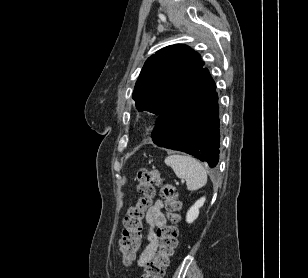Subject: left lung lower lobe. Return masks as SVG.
<instances>
[{"label":"left lung lower lobe","instance_id":"obj_1","mask_svg":"<svg viewBox=\"0 0 308 278\" xmlns=\"http://www.w3.org/2000/svg\"><path fill=\"white\" fill-rule=\"evenodd\" d=\"M216 85L208 69L193 76L159 114L153 142L183 151L215 167L219 160Z\"/></svg>","mask_w":308,"mask_h":278}]
</instances>
